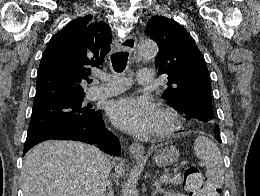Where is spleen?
I'll use <instances>...</instances> for the list:
<instances>
[{
	"instance_id": "1",
	"label": "spleen",
	"mask_w": 260,
	"mask_h": 196,
	"mask_svg": "<svg viewBox=\"0 0 260 196\" xmlns=\"http://www.w3.org/2000/svg\"><path fill=\"white\" fill-rule=\"evenodd\" d=\"M194 150L198 160L206 166L207 182L214 188H222L224 184V168L221 152L210 138L198 136L194 142Z\"/></svg>"
}]
</instances>
